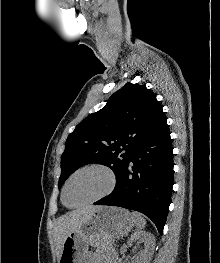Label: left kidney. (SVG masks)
I'll return each instance as SVG.
<instances>
[{
  "mask_svg": "<svg viewBox=\"0 0 220 263\" xmlns=\"http://www.w3.org/2000/svg\"><path fill=\"white\" fill-rule=\"evenodd\" d=\"M141 241L145 249L137 256L135 263H149L155 246V238L150 232H135L127 241L128 246L134 242Z\"/></svg>",
  "mask_w": 220,
  "mask_h": 263,
  "instance_id": "1",
  "label": "left kidney"
}]
</instances>
